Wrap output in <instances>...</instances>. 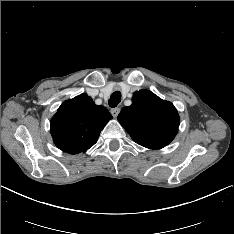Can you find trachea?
Here are the masks:
<instances>
[{
  "label": "trachea",
  "instance_id": "trachea-1",
  "mask_svg": "<svg viewBox=\"0 0 234 234\" xmlns=\"http://www.w3.org/2000/svg\"><path fill=\"white\" fill-rule=\"evenodd\" d=\"M120 101H121V93L119 91H115L110 96L109 106L112 108L117 107Z\"/></svg>",
  "mask_w": 234,
  "mask_h": 234
}]
</instances>
